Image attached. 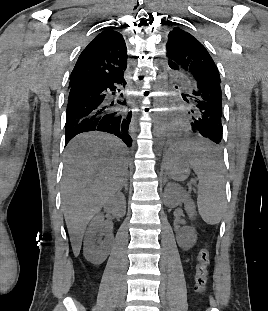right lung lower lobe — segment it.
<instances>
[{"label":"right lung lower lobe","instance_id":"98d812e1","mask_svg":"<svg viewBox=\"0 0 268 311\" xmlns=\"http://www.w3.org/2000/svg\"><path fill=\"white\" fill-rule=\"evenodd\" d=\"M125 85L124 74L107 80L70 85L65 145L79 133L102 131L116 135L131 147L132 112L126 110L123 94L115 103L109 98L110 92L115 95V92L120 91L119 87Z\"/></svg>","mask_w":268,"mask_h":311}]
</instances>
